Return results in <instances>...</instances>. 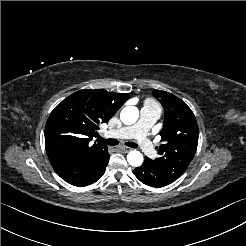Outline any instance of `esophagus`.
<instances>
[{
    "mask_svg": "<svg viewBox=\"0 0 246 246\" xmlns=\"http://www.w3.org/2000/svg\"><path fill=\"white\" fill-rule=\"evenodd\" d=\"M118 150L122 153H128L129 151H131L132 149L127 147V146H121L118 148Z\"/></svg>",
    "mask_w": 246,
    "mask_h": 246,
    "instance_id": "34e87169",
    "label": "esophagus"
}]
</instances>
